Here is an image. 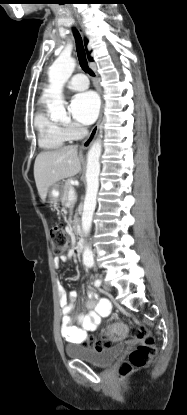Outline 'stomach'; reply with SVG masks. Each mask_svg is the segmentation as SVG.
I'll list each match as a JSON object with an SVG mask.
<instances>
[{
    "mask_svg": "<svg viewBox=\"0 0 187 415\" xmlns=\"http://www.w3.org/2000/svg\"><path fill=\"white\" fill-rule=\"evenodd\" d=\"M62 194V186L58 183L51 185L48 189V201L51 207H56L59 203L60 197Z\"/></svg>",
    "mask_w": 187,
    "mask_h": 415,
    "instance_id": "0dacf381",
    "label": "stomach"
}]
</instances>
